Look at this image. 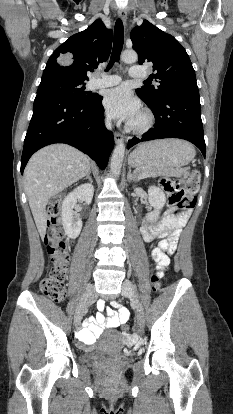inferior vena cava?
<instances>
[{
    "mask_svg": "<svg viewBox=\"0 0 233 414\" xmlns=\"http://www.w3.org/2000/svg\"><path fill=\"white\" fill-rule=\"evenodd\" d=\"M106 127L109 128V129L111 128V121L110 120L106 121Z\"/></svg>",
    "mask_w": 233,
    "mask_h": 414,
    "instance_id": "1",
    "label": "inferior vena cava"
}]
</instances>
